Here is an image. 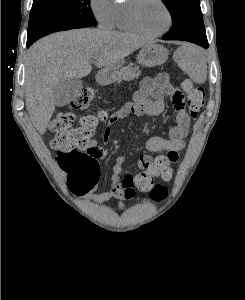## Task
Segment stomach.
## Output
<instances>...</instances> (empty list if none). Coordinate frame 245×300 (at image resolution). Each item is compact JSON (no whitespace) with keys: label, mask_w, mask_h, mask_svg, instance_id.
I'll use <instances>...</instances> for the list:
<instances>
[{"label":"stomach","mask_w":245,"mask_h":300,"mask_svg":"<svg viewBox=\"0 0 245 300\" xmlns=\"http://www.w3.org/2000/svg\"><path fill=\"white\" fill-rule=\"evenodd\" d=\"M168 55V50L162 45L149 44L142 47L137 56V62L145 67H155L166 62ZM123 64L124 61H120L115 65L106 67L104 70V79L106 81L116 80Z\"/></svg>","instance_id":"0dacf381"}]
</instances>
